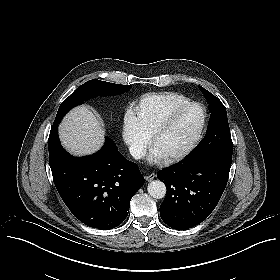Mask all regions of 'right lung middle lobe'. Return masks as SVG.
I'll return each instance as SVG.
<instances>
[{
	"label": "right lung middle lobe",
	"instance_id": "obj_1",
	"mask_svg": "<svg viewBox=\"0 0 280 280\" xmlns=\"http://www.w3.org/2000/svg\"><path fill=\"white\" fill-rule=\"evenodd\" d=\"M131 86L100 81L89 80L78 87L66 100H64L57 112L54 122H60L62 117L74 106L95 96H115L130 90Z\"/></svg>",
	"mask_w": 280,
	"mask_h": 280
}]
</instances>
